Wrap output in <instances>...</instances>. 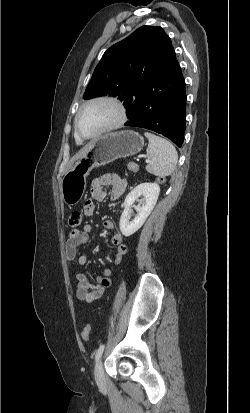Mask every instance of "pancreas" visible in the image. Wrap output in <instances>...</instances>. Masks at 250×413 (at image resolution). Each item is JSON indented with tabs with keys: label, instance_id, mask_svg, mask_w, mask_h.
Masks as SVG:
<instances>
[{
	"label": "pancreas",
	"instance_id": "cf45deb5",
	"mask_svg": "<svg viewBox=\"0 0 250 413\" xmlns=\"http://www.w3.org/2000/svg\"><path fill=\"white\" fill-rule=\"evenodd\" d=\"M130 170H132V171H137L138 170V166L137 165H135L134 167H132V168H129Z\"/></svg>",
	"mask_w": 250,
	"mask_h": 413
}]
</instances>
